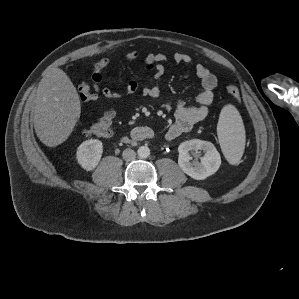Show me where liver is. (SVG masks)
<instances>
[{
	"mask_svg": "<svg viewBox=\"0 0 299 299\" xmlns=\"http://www.w3.org/2000/svg\"><path fill=\"white\" fill-rule=\"evenodd\" d=\"M81 114L77 90L59 68L47 70L35 96L33 122L37 137L48 147L62 144L72 133Z\"/></svg>",
	"mask_w": 299,
	"mask_h": 299,
	"instance_id": "1",
	"label": "liver"
}]
</instances>
